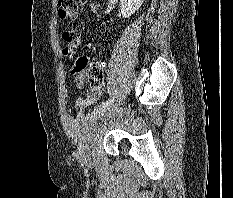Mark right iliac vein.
I'll return each mask as SVG.
<instances>
[{"label":"right iliac vein","mask_w":233,"mask_h":198,"mask_svg":"<svg viewBox=\"0 0 233 198\" xmlns=\"http://www.w3.org/2000/svg\"><path fill=\"white\" fill-rule=\"evenodd\" d=\"M107 110L110 111V112L114 111L115 110V106H111V107H109L107 109L104 108V110H102V112H106Z\"/></svg>","instance_id":"1"}]
</instances>
